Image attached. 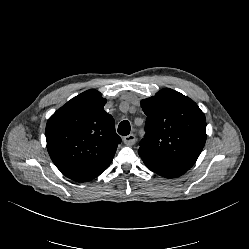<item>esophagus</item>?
I'll list each match as a JSON object with an SVG mask.
<instances>
[{
	"mask_svg": "<svg viewBox=\"0 0 249 249\" xmlns=\"http://www.w3.org/2000/svg\"><path fill=\"white\" fill-rule=\"evenodd\" d=\"M123 142L127 145V146H132L136 143V136L134 134H129L127 136L123 137Z\"/></svg>",
	"mask_w": 249,
	"mask_h": 249,
	"instance_id": "obj_1",
	"label": "esophagus"
}]
</instances>
